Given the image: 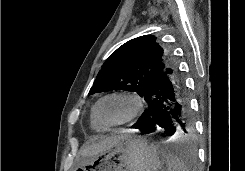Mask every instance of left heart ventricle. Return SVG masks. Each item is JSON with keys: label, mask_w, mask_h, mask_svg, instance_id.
Masks as SVG:
<instances>
[{"label": "left heart ventricle", "mask_w": 245, "mask_h": 171, "mask_svg": "<svg viewBox=\"0 0 245 171\" xmlns=\"http://www.w3.org/2000/svg\"><path fill=\"white\" fill-rule=\"evenodd\" d=\"M131 110V103L123 98L113 97L104 100L98 108L99 117L107 122L114 123L124 119Z\"/></svg>", "instance_id": "obj_1"}]
</instances>
